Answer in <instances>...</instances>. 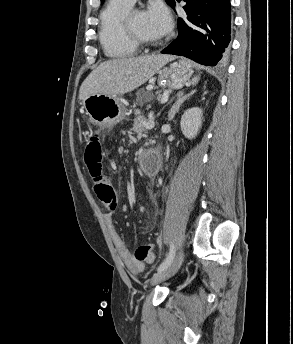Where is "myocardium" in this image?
Instances as JSON below:
<instances>
[{"label":"myocardium","mask_w":293,"mask_h":344,"mask_svg":"<svg viewBox=\"0 0 293 344\" xmlns=\"http://www.w3.org/2000/svg\"><path fill=\"white\" fill-rule=\"evenodd\" d=\"M142 12L139 9L131 8L125 15L122 23L124 35L128 40L138 47H152L159 44L157 41H149L138 34H136L131 27V18L135 13Z\"/></svg>","instance_id":"1"}]
</instances>
